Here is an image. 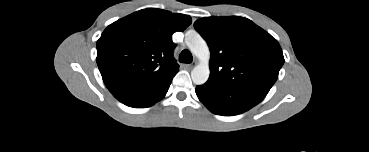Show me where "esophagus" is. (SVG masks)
<instances>
[{
	"mask_svg": "<svg viewBox=\"0 0 369 152\" xmlns=\"http://www.w3.org/2000/svg\"><path fill=\"white\" fill-rule=\"evenodd\" d=\"M197 64L196 61H193L191 64L186 65L188 69H192Z\"/></svg>",
	"mask_w": 369,
	"mask_h": 152,
	"instance_id": "34e87169",
	"label": "esophagus"
}]
</instances>
